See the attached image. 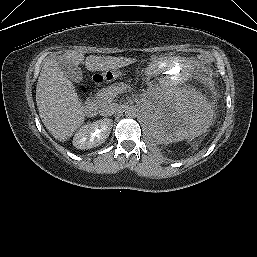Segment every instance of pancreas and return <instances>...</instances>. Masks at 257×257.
Instances as JSON below:
<instances>
[{
  "label": "pancreas",
  "instance_id": "1",
  "mask_svg": "<svg viewBox=\"0 0 257 257\" xmlns=\"http://www.w3.org/2000/svg\"><path fill=\"white\" fill-rule=\"evenodd\" d=\"M126 86H127L126 84L120 82V83L112 84L106 88H103L102 90H100L95 94V97L93 98L94 104L98 107H102L105 104L110 103L115 97L114 93L118 89L123 90Z\"/></svg>",
  "mask_w": 257,
  "mask_h": 257
}]
</instances>
